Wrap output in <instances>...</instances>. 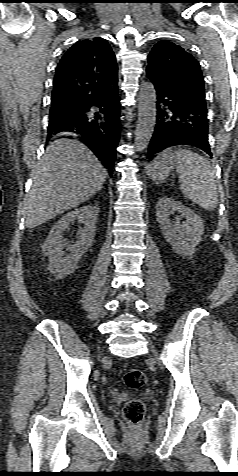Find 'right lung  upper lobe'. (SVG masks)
<instances>
[{
    "mask_svg": "<svg viewBox=\"0 0 238 476\" xmlns=\"http://www.w3.org/2000/svg\"><path fill=\"white\" fill-rule=\"evenodd\" d=\"M116 57L105 39L82 40L57 65L52 108L82 109L117 87Z\"/></svg>",
    "mask_w": 238,
    "mask_h": 476,
    "instance_id": "obj_1",
    "label": "right lung upper lobe"
}]
</instances>
